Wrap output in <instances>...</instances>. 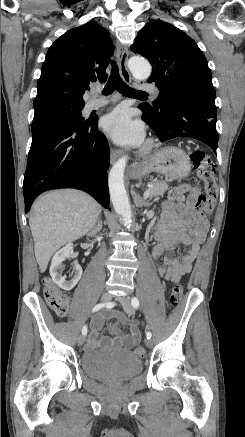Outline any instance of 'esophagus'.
<instances>
[{
  "instance_id": "esophagus-1",
  "label": "esophagus",
  "mask_w": 245,
  "mask_h": 437,
  "mask_svg": "<svg viewBox=\"0 0 245 437\" xmlns=\"http://www.w3.org/2000/svg\"><path fill=\"white\" fill-rule=\"evenodd\" d=\"M118 62H119V69H120V73L122 78L124 79V81H126L127 83L131 82V76L130 73L128 71L127 68V60H128V48L126 45L119 43L118 44ZM120 155V151L119 150H112L111 155H110V162L111 164H113L117 158Z\"/></svg>"
}]
</instances>
